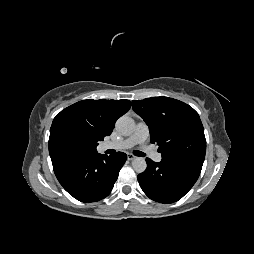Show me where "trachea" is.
I'll return each instance as SVG.
<instances>
[{
  "instance_id": "3493384b",
  "label": "trachea",
  "mask_w": 254,
  "mask_h": 254,
  "mask_svg": "<svg viewBox=\"0 0 254 254\" xmlns=\"http://www.w3.org/2000/svg\"><path fill=\"white\" fill-rule=\"evenodd\" d=\"M133 153H134V155H136V156H140V157H144V156H145V153H143V152H141V151H138V150L134 151Z\"/></svg>"
}]
</instances>
